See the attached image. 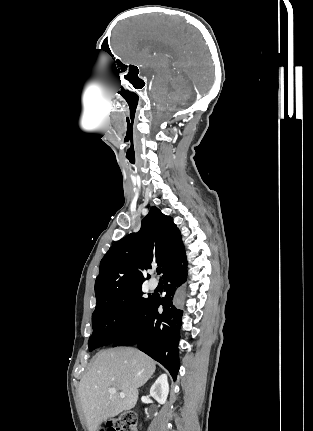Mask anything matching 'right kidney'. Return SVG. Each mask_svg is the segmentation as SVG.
Wrapping results in <instances>:
<instances>
[{
    "instance_id": "1",
    "label": "right kidney",
    "mask_w": 313,
    "mask_h": 431,
    "mask_svg": "<svg viewBox=\"0 0 313 431\" xmlns=\"http://www.w3.org/2000/svg\"><path fill=\"white\" fill-rule=\"evenodd\" d=\"M169 393L167 375H160L150 389V395L159 403L165 404Z\"/></svg>"
}]
</instances>
